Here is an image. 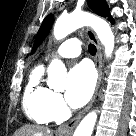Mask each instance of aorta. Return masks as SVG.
I'll return each instance as SVG.
<instances>
[{
	"label": "aorta",
	"instance_id": "obj_1",
	"mask_svg": "<svg viewBox=\"0 0 136 136\" xmlns=\"http://www.w3.org/2000/svg\"><path fill=\"white\" fill-rule=\"evenodd\" d=\"M83 26L92 27L104 45L106 56H111L115 46L114 34L105 20L93 14L74 11L68 15L60 16L55 22L54 37L57 40H61ZM47 73L48 86L54 91H64L67 71L63 62L58 59L52 60L48 66ZM96 120L97 114L95 111L88 113L76 128L73 136H91Z\"/></svg>",
	"mask_w": 136,
	"mask_h": 136
}]
</instances>
